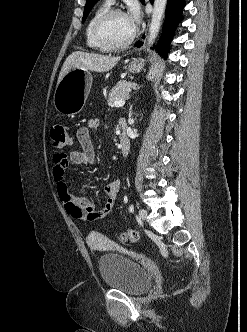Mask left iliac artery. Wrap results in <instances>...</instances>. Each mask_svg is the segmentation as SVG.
Returning <instances> with one entry per match:
<instances>
[{
  "label": "left iliac artery",
  "mask_w": 247,
  "mask_h": 332,
  "mask_svg": "<svg viewBox=\"0 0 247 332\" xmlns=\"http://www.w3.org/2000/svg\"><path fill=\"white\" fill-rule=\"evenodd\" d=\"M129 211H130L131 213L134 212V206H133V204H131V205L129 206Z\"/></svg>",
  "instance_id": "44dca946"
}]
</instances>
